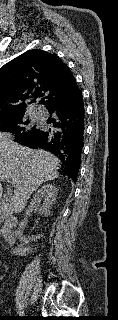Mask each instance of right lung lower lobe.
<instances>
[{"label": "right lung lower lobe", "instance_id": "right-lung-lower-lobe-1", "mask_svg": "<svg viewBox=\"0 0 118 320\" xmlns=\"http://www.w3.org/2000/svg\"><path fill=\"white\" fill-rule=\"evenodd\" d=\"M52 128H41L34 135L19 138L18 143L41 148L57 156L62 162L60 173L74 182L81 164L85 135V109L81 90L75 95L53 102L47 107Z\"/></svg>", "mask_w": 118, "mask_h": 320}]
</instances>
